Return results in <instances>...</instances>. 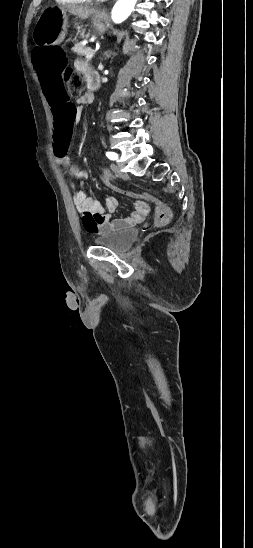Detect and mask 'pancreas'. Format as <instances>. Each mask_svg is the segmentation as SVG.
Segmentation results:
<instances>
[{"instance_id": "obj_1", "label": "pancreas", "mask_w": 253, "mask_h": 548, "mask_svg": "<svg viewBox=\"0 0 253 548\" xmlns=\"http://www.w3.org/2000/svg\"><path fill=\"white\" fill-rule=\"evenodd\" d=\"M72 51L77 55L86 56L91 51V49L82 45L81 43H77L72 48Z\"/></svg>"}]
</instances>
